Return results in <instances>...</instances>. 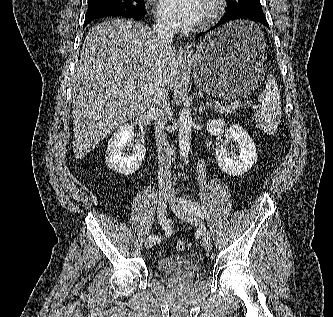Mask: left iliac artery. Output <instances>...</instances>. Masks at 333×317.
Returning a JSON list of instances; mask_svg holds the SVG:
<instances>
[{"mask_svg":"<svg viewBox=\"0 0 333 317\" xmlns=\"http://www.w3.org/2000/svg\"><path fill=\"white\" fill-rule=\"evenodd\" d=\"M183 201H185V203H187L190 210L192 212H194L196 215H198L200 217H204L206 215V209L203 205H201L195 201H187L184 199H183Z\"/></svg>","mask_w":333,"mask_h":317,"instance_id":"obj_1","label":"left iliac artery"}]
</instances>
